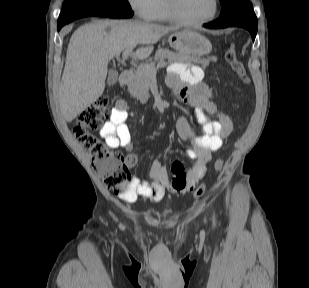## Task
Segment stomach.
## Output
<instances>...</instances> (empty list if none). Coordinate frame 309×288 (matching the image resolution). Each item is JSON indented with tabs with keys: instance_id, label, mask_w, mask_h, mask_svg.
<instances>
[{
	"instance_id": "obj_1",
	"label": "stomach",
	"mask_w": 309,
	"mask_h": 288,
	"mask_svg": "<svg viewBox=\"0 0 309 288\" xmlns=\"http://www.w3.org/2000/svg\"><path fill=\"white\" fill-rule=\"evenodd\" d=\"M170 46L180 54L190 57L207 55L212 50L210 41L197 31L183 29L168 37Z\"/></svg>"
}]
</instances>
